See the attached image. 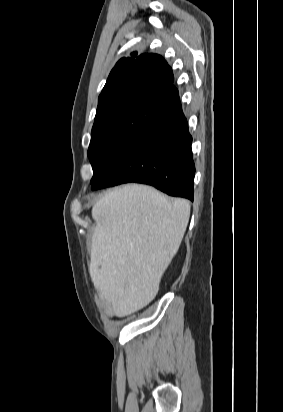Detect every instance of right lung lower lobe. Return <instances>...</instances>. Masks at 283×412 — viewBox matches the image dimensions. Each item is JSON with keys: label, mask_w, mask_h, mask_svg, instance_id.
<instances>
[{"label": "right lung lower lobe", "mask_w": 283, "mask_h": 412, "mask_svg": "<svg viewBox=\"0 0 283 412\" xmlns=\"http://www.w3.org/2000/svg\"><path fill=\"white\" fill-rule=\"evenodd\" d=\"M169 74L165 65V80ZM191 143L187 120L177 99L91 188L137 182L193 200L195 165Z\"/></svg>", "instance_id": "98d812e1"}]
</instances>
